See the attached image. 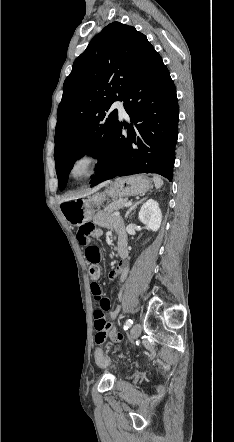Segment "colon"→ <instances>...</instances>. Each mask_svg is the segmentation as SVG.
<instances>
[{
    "label": "colon",
    "mask_w": 234,
    "mask_h": 442,
    "mask_svg": "<svg viewBox=\"0 0 234 442\" xmlns=\"http://www.w3.org/2000/svg\"><path fill=\"white\" fill-rule=\"evenodd\" d=\"M95 231L96 228L94 227V225L91 223H87L82 225L77 233V239L79 243L85 246L86 258L92 264L89 269V274L92 280H98L101 275L100 268L97 265L101 259L100 249L94 244H89V239L94 236ZM92 294L97 304V308L94 310V316L95 314H105V312L110 307V301L109 299L102 297L100 287L97 283H94ZM94 350L95 365L100 366L102 370H105L107 368V360L103 357L101 347L99 345H96L94 347ZM110 368H113V365H110Z\"/></svg>",
    "instance_id": "colon-1"
}]
</instances>
